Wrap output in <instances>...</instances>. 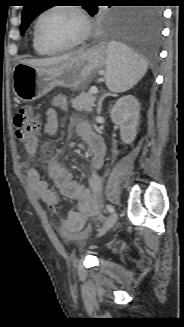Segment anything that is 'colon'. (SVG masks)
Returning a JSON list of instances; mask_svg holds the SVG:
<instances>
[{"label": "colon", "mask_w": 184, "mask_h": 327, "mask_svg": "<svg viewBox=\"0 0 184 327\" xmlns=\"http://www.w3.org/2000/svg\"><path fill=\"white\" fill-rule=\"evenodd\" d=\"M16 138L21 142L32 139L40 130L41 121L39 115L28 106L21 107L14 116ZM93 218H99V212L92 214Z\"/></svg>", "instance_id": "obj_1"}]
</instances>
